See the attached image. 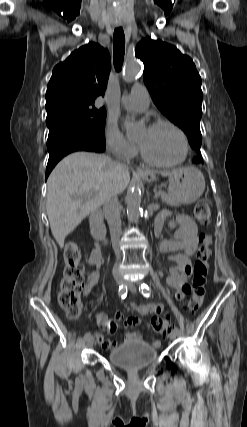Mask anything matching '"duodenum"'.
<instances>
[{"label":"duodenum","mask_w":247,"mask_h":427,"mask_svg":"<svg viewBox=\"0 0 247 427\" xmlns=\"http://www.w3.org/2000/svg\"><path fill=\"white\" fill-rule=\"evenodd\" d=\"M92 236L98 243H105L106 229L103 224V214L100 209L94 210L89 217Z\"/></svg>","instance_id":"obj_1"}]
</instances>
